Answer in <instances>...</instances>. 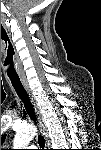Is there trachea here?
Segmentation results:
<instances>
[{
	"mask_svg": "<svg viewBox=\"0 0 101 150\" xmlns=\"http://www.w3.org/2000/svg\"><path fill=\"white\" fill-rule=\"evenodd\" d=\"M10 80H11V83H12L15 91L17 92L18 96L20 97V99L24 103L26 111H27L28 115L30 116L31 120H33L34 123H36L37 118H36V115L34 112V108L30 102L28 94L26 93L20 79L10 78ZM38 144L41 148L45 147V139L41 135H39V137H38Z\"/></svg>",
	"mask_w": 101,
	"mask_h": 150,
	"instance_id": "3493384b",
	"label": "trachea"
}]
</instances>
